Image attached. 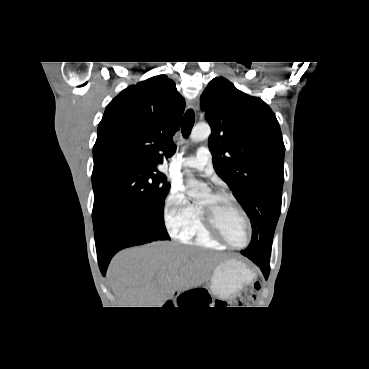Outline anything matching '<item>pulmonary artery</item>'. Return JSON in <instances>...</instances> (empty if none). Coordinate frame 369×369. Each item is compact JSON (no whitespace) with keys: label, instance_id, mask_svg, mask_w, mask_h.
Here are the masks:
<instances>
[{"label":"pulmonary artery","instance_id":"pulmonary-artery-1","mask_svg":"<svg viewBox=\"0 0 369 369\" xmlns=\"http://www.w3.org/2000/svg\"><path fill=\"white\" fill-rule=\"evenodd\" d=\"M181 166L197 171H203L206 175L213 172L212 156L207 147H200L195 156L186 157L181 160Z\"/></svg>","mask_w":369,"mask_h":369}]
</instances>
